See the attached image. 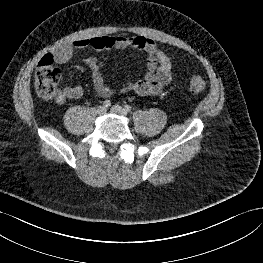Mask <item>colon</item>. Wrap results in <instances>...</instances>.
I'll return each mask as SVG.
<instances>
[{
    "label": "colon",
    "mask_w": 263,
    "mask_h": 263,
    "mask_svg": "<svg viewBox=\"0 0 263 263\" xmlns=\"http://www.w3.org/2000/svg\"><path fill=\"white\" fill-rule=\"evenodd\" d=\"M60 77V70L54 64L53 57L50 54L43 56L34 74V86L38 95L46 99L54 98L58 90ZM205 87L206 82L202 77L193 76L191 78L189 88L192 92H202Z\"/></svg>",
    "instance_id": "5ec220e1"
}]
</instances>
